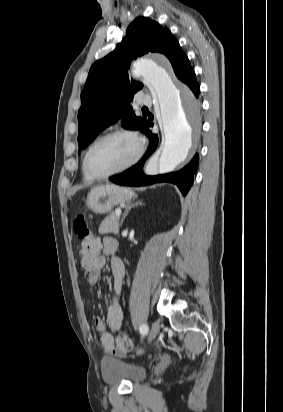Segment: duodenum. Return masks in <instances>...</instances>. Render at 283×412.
<instances>
[{
    "label": "duodenum",
    "mask_w": 283,
    "mask_h": 412,
    "mask_svg": "<svg viewBox=\"0 0 283 412\" xmlns=\"http://www.w3.org/2000/svg\"><path fill=\"white\" fill-rule=\"evenodd\" d=\"M117 247H118V245H117ZM115 248H116V247H112V250L114 251V250H115Z\"/></svg>",
    "instance_id": "1"
}]
</instances>
